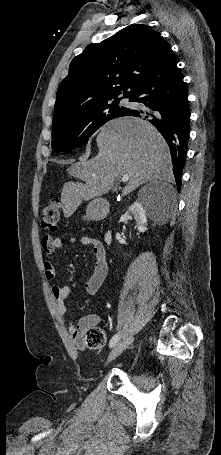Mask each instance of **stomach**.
Instances as JSON below:
<instances>
[{"instance_id": "obj_1", "label": "stomach", "mask_w": 221, "mask_h": 455, "mask_svg": "<svg viewBox=\"0 0 221 455\" xmlns=\"http://www.w3.org/2000/svg\"><path fill=\"white\" fill-rule=\"evenodd\" d=\"M97 203L98 200H95L87 206L86 216H84V219H92L98 214Z\"/></svg>"}]
</instances>
